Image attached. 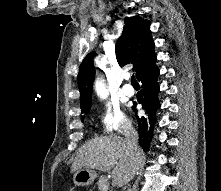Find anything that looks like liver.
<instances>
[{
    "instance_id": "liver-1",
    "label": "liver",
    "mask_w": 221,
    "mask_h": 191,
    "mask_svg": "<svg viewBox=\"0 0 221 191\" xmlns=\"http://www.w3.org/2000/svg\"><path fill=\"white\" fill-rule=\"evenodd\" d=\"M141 158L140 152L139 161L134 167L126 140L117 136L97 137L81 146L72 164L71 172L74 173L82 168L100 171L112 169L113 184L121 187L133 178Z\"/></svg>"
}]
</instances>
